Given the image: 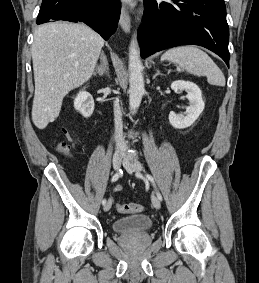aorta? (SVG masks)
Listing matches in <instances>:
<instances>
[{
    "label": "aorta",
    "instance_id": "1",
    "mask_svg": "<svg viewBox=\"0 0 259 283\" xmlns=\"http://www.w3.org/2000/svg\"><path fill=\"white\" fill-rule=\"evenodd\" d=\"M142 62L136 35L134 34L129 47V105L133 113L140 106L144 94V77L142 74Z\"/></svg>",
    "mask_w": 259,
    "mask_h": 283
}]
</instances>
